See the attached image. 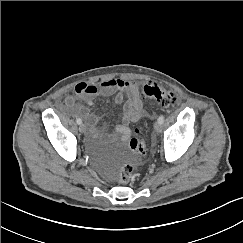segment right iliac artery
<instances>
[{"instance_id": "right-iliac-artery-1", "label": "right iliac artery", "mask_w": 243, "mask_h": 243, "mask_svg": "<svg viewBox=\"0 0 243 243\" xmlns=\"http://www.w3.org/2000/svg\"><path fill=\"white\" fill-rule=\"evenodd\" d=\"M76 122H77V124L80 125V124L82 123V120H81L80 118H77V119H76Z\"/></svg>"}]
</instances>
